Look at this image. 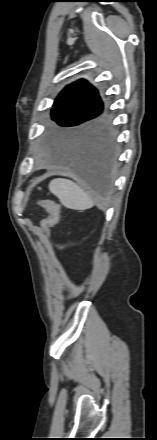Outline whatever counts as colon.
Wrapping results in <instances>:
<instances>
[{
  "mask_svg": "<svg viewBox=\"0 0 157 440\" xmlns=\"http://www.w3.org/2000/svg\"><path fill=\"white\" fill-rule=\"evenodd\" d=\"M38 204L47 212V217L41 222L43 230L48 234L50 228L55 226L60 219L59 205L50 199H41Z\"/></svg>",
  "mask_w": 157,
  "mask_h": 440,
  "instance_id": "5ec220e1",
  "label": "colon"
}]
</instances>
